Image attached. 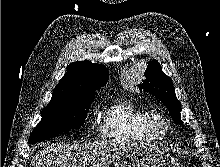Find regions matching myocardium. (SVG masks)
<instances>
[{"label":"myocardium","instance_id":"1","mask_svg":"<svg viewBox=\"0 0 220 167\" xmlns=\"http://www.w3.org/2000/svg\"><path fill=\"white\" fill-rule=\"evenodd\" d=\"M144 130L151 140L158 141L168 135L170 124L164 116L150 113L145 119Z\"/></svg>","mask_w":220,"mask_h":167}]
</instances>
